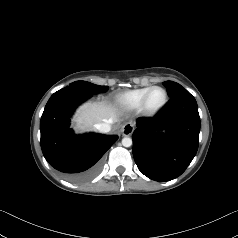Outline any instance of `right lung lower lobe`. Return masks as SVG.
Returning a JSON list of instances; mask_svg holds the SVG:
<instances>
[{"instance_id":"right-lung-lower-lobe-1","label":"right lung lower lobe","mask_w":238,"mask_h":238,"mask_svg":"<svg viewBox=\"0 0 238 238\" xmlns=\"http://www.w3.org/2000/svg\"><path fill=\"white\" fill-rule=\"evenodd\" d=\"M92 95L78 86L60 89L48 100L40 122L45 159L75 183L85 182L98 173L101 157L118 139L115 135L95 133L77 136L69 128L75 108Z\"/></svg>"}]
</instances>
